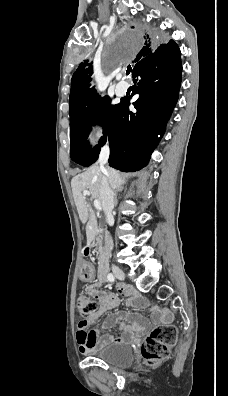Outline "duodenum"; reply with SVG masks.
Returning <instances> with one entry per match:
<instances>
[{
  "instance_id": "1",
  "label": "duodenum",
  "mask_w": 228,
  "mask_h": 396,
  "mask_svg": "<svg viewBox=\"0 0 228 396\" xmlns=\"http://www.w3.org/2000/svg\"><path fill=\"white\" fill-rule=\"evenodd\" d=\"M109 246L107 243H104L99 246V259H98V273L103 275L105 273V266H106V258L108 255Z\"/></svg>"
}]
</instances>
